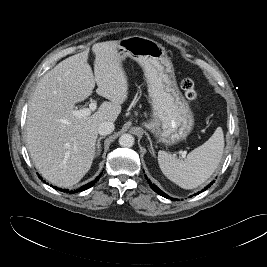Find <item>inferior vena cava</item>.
Segmentation results:
<instances>
[{
	"instance_id": "obj_1",
	"label": "inferior vena cava",
	"mask_w": 267,
	"mask_h": 267,
	"mask_svg": "<svg viewBox=\"0 0 267 267\" xmlns=\"http://www.w3.org/2000/svg\"><path fill=\"white\" fill-rule=\"evenodd\" d=\"M113 130H114V124L110 121H104L98 127V133L104 136L112 133Z\"/></svg>"
}]
</instances>
